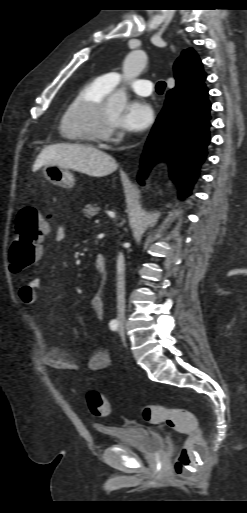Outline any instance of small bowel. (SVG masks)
Here are the masks:
<instances>
[{"mask_svg":"<svg viewBox=\"0 0 247 513\" xmlns=\"http://www.w3.org/2000/svg\"><path fill=\"white\" fill-rule=\"evenodd\" d=\"M54 241L61 243L65 239V229L62 226H58L53 232ZM42 287V281L40 278H32L23 286H20L18 290V296L20 301L31 306L36 303L38 298V291ZM90 305L93 309L96 317L102 320L104 317V304L99 294L92 295L90 299ZM42 363L51 369L55 370H77L78 365L73 360L69 352L63 351L55 346L47 345L44 352L41 355ZM111 358L106 349L100 348L93 351L87 360V368L90 371H101L109 367Z\"/></svg>","mask_w":247,"mask_h":513,"instance_id":"c3829d8e","label":"small bowel"}]
</instances>
